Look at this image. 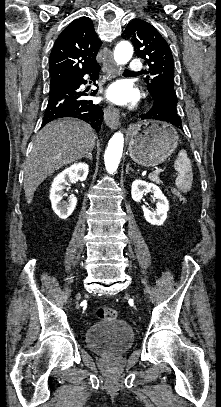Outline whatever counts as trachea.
Wrapping results in <instances>:
<instances>
[{"label": "trachea", "mask_w": 221, "mask_h": 407, "mask_svg": "<svg viewBox=\"0 0 221 407\" xmlns=\"http://www.w3.org/2000/svg\"><path fill=\"white\" fill-rule=\"evenodd\" d=\"M125 72H130L129 70L125 69Z\"/></svg>", "instance_id": "3493384b"}]
</instances>
